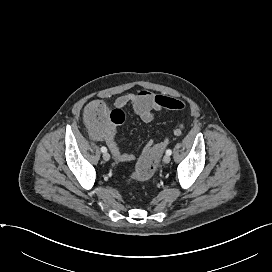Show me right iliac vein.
I'll return each mask as SVG.
<instances>
[{
	"instance_id": "obj_1",
	"label": "right iliac vein",
	"mask_w": 272,
	"mask_h": 272,
	"mask_svg": "<svg viewBox=\"0 0 272 272\" xmlns=\"http://www.w3.org/2000/svg\"><path fill=\"white\" fill-rule=\"evenodd\" d=\"M103 159H104L105 161H109V159H110V154L107 153V152H105V153L103 154Z\"/></svg>"
}]
</instances>
